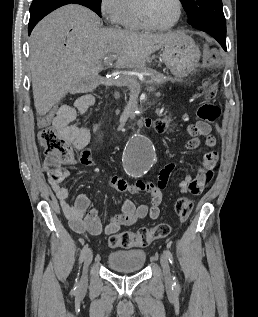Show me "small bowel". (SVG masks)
<instances>
[{
    "mask_svg": "<svg viewBox=\"0 0 258 317\" xmlns=\"http://www.w3.org/2000/svg\"><path fill=\"white\" fill-rule=\"evenodd\" d=\"M94 104L95 98L92 95H83L76 100L74 105H62L52 115L53 127L77 150H82L89 143L91 134L96 132L97 126L93 124L91 128H87L74 124V121L87 112ZM39 124L40 126L45 125L42 121ZM143 124L148 128L153 126L151 120H145ZM186 131L192 137L186 143L187 149H195L199 146V136L205 137V145L208 147V151L203 155L199 163L196 175L186 174L178 185L181 193L197 195L212 180L213 170L218 163L219 154L214 150L216 139L211 134L210 126L207 123L199 121L195 124H189ZM65 163L59 157L53 155L46 158L45 169L48 181L70 227L77 233L88 232L95 236L117 233L121 228L131 226L147 216L153 220L157 219L160 214L162 190L172 188L169 177L175 167L172 163L166 164L159 173L157 185L144 181L128 184L121 177L109 176L108 182L117 190L133 195L145 193L149 195V200L145 204L135 205L131 200L126 199L123 202L121 213L102 219L98 211L90 207L89 198L85 194L77 195L72 204L68 203L69 193L67 188L62 185V182L69 175L67 169L63 166ZM81 163L86 166L92 165L88 152H85Z\"/></svg>",
    "mask_w": 258,
    "mask_h": 317,
    "instance_id": "c3829d8e",
    "label": "small bowel"
}]
</instances>
